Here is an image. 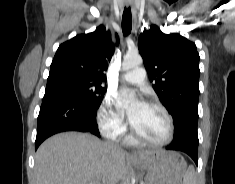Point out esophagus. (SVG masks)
Listing matches in <instances>:
<instances>
[{
	"mask_svg": "<svg viewBox=\"0 0 235 184\" xmlns=\"http://www.w3.org/2000/svg\"><path fill=\"white\" fill-rule=\"evenodd\" d=\"M126 5H133V0H126ZM132 17H133V21H134V28L136 27V23H137V16H136V11L132 8Z\"/></svg>",
	"mask_w": 235,
	"mask_h": 184,
	"instance_id": "obj_1",
	"label": "esophagus"
}]
</instances>
